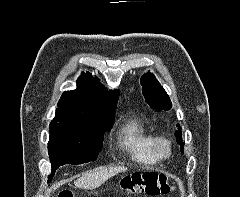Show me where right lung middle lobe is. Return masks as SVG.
<instances>
[{"mask_svg": "<svg viewBox=\"0 0 240 197\" xmlns=\"http://www.w3.org/2000/svg\"><path fill=\"white\" fill-rule=\"evenodd\" d=\"M113 122L100 125L50 123L48 153L52 164L50 181L56 169L65 164H83L93 161L103 145V134Z\"/></svg>", "mask_w": 240, "mask_h": 197, "instance_id": "obj_1", "label": "right lung middle lobe"}]
</instances>
